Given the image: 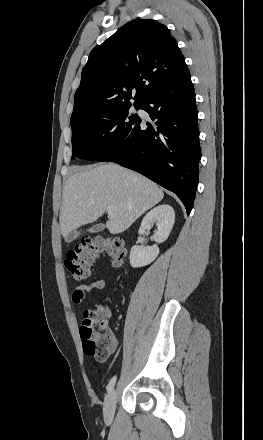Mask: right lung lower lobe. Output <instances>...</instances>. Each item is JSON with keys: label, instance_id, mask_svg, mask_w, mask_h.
Listing matches in <instances>:
<instances>
[{"label": "right lung lower lobe", "instance_id": "obj_1", "mask_svg": "<svg viewBox=\"0 0 263 440\" xmlns=\"http://www.w3.org/2000/svg\"><path fill=\"white\" fill-rule=\"evenodd\" d=\"M155 127L138 125L98 161L132 169L174 192L190 214L199 176V131L189 70L149 93L140 103Z\"/></svg>", "mask_w": 263, "mask_h": 440}]
</instances>
